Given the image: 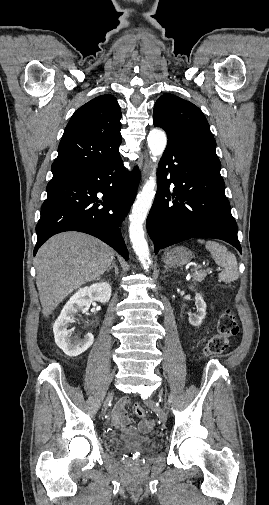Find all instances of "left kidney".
Returning <instances> with one entry per match:
<instances>
[{
	"instance_id": "1",
	"label": "left kidney",
	"mask_w": 269,
	"mask_h": 505,
	"mask_svg": "<svg viewBox=\"0 0 269 505\" xmlns=\"http://www.w3.org/2000/svg\"><path fill=\"white\" fill-rule=\"evenodd\" d=\"M190 289H193V287H190ZM195 305L197 309V313L192 314L189 317V323L192 326L199 327L203 320L206 317V303L200 293H196L195 295Z\"/></svg>"
}]
</instances>
